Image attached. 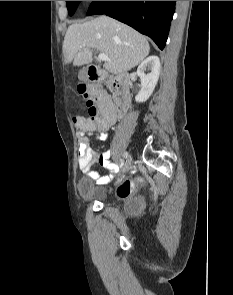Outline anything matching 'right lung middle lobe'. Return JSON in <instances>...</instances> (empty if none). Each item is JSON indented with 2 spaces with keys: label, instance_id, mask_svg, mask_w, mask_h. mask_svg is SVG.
Returning <instances> with one entry per match:
<instances>
[{
  "label": "right lung middle lobe",
  "instance_id": "right-lung-middle-lobe-1",
  "mask_svg": "<svg viewBox=\"0 0 233 295\" xmlns=\"http://www.w3.org/2000/svg\"><path fill=\"white\" fill-rule=\"evenodd\" d=\"M81 1H66L69 15H72Z\"/></svg>",
  "mask_w": 233,
  "mask_h": 295
}]
</instances>
